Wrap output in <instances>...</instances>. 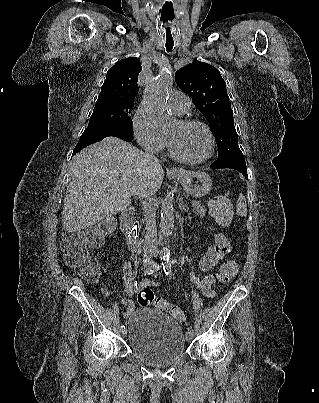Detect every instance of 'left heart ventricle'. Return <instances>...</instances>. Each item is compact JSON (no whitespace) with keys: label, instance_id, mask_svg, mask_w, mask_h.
Here are the masks:
<instances>
[{"label":"left heart ventricle","instance_id":"obj_1","mask_svg":"<svg viewBox=\"0 0 319 403\" xmlns=\"http://www.w3.org/2000/svg\"><path fill=\"white\" fill-rule=\"evenodd\" d=\"M166 135L177 152L188 159H200L208 151L209 139L200 126H182L177 120L167 130Z\"/></svg>","mask_w":319,"mask_h":403}]
</instances>
